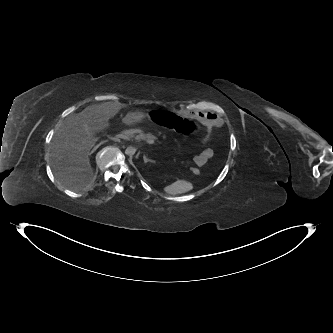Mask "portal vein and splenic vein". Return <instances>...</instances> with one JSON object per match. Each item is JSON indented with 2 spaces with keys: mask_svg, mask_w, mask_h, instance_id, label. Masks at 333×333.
Returning a JSON list of instances; mask_svg holds the SVG:
<instances>
[{
  "mask_svg": "<svg viewBox=\"0 0 333 333\" xmlns=\"http://www.w3.org/2000/svg\"><path fill=\"white\" fill-rule=\"evenodd\" d=\"M127 136H128L127 133H125V134H121V135H117V137H120V138H126Z\"/></svg>",
  "mask_w": 333,
  "mask_h": 333,
  "instance_id": "portal-vein-and-splenic-vein-1",
  "label": "portal vein and splenic vein"
}]
</instances>
